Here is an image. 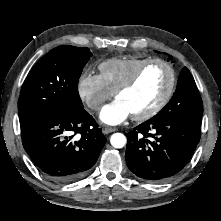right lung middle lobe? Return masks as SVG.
<instances>
[{
	"instance_id": "dd1d6c3e",
	"label": "right lung middle lobe",
	"mask_w": 221,
	"mask_h": 221,
	"mask_svg": "<svg viewBox=\"0 0 221 221\" xmlns=\"http://www.w3.org/2000/svg\"><path fill=\"white\" fill-rule=\"evenodd\" d=\"M91 56L87 47L62 45L41 58L29 72L20 92V126L43 116L83 109L78 80Z\"/></svg>"
}]
</instances>
